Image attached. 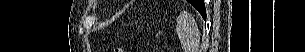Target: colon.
Wrapping results in <instances>:
<instances>
[{
	"label": "colon",
	"instance_id": "obj_1",
	"mask_svg": "<svg viewBox=\"0 0 305 52\" xmlns=\"http://www.w3.org/2000/svg\"><path fill=\"white\" fill-rule=\"evenodd\" d=\"M115 51L116 52H123V50L121 48H116Z\"/></svg>",
	"mask_w": 305,
	"mask_h": 52
}]
</instances>
